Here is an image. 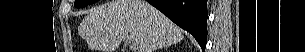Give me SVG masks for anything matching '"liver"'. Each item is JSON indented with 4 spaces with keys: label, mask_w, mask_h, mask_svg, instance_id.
<instances>
[{
    "label": "liver",
    "mask_w": 305,
    "mask_h": 52,
    "mask_svg": "<svg viewBox=\"0 0 305 52\" xmlns=\"http://www.w3.org/2000/svg\"><path fill=\"white\" fill-rule=\"evenodd\" d=\"M78 33L98 52H115L123 40L133 41L137 52H154L184 39L182 29L142 0H113L92 9Z\"/></svg>",
    "instance_id": "6515ba94"
}]
</instances>
